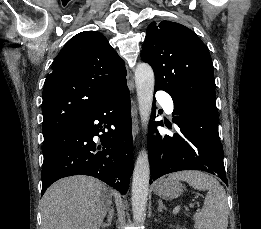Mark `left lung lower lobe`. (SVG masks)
Returning a JSON list of instances; mask_svg holds the SVG:
<instances>
[{"label":"left lung lower lobe","instance_id":"1","mask_svg":"<svg viewBox=\"0 0 261 229\" xmlns=\"http://www.w3.org/2000/svg\"><path fill=\"white\" fill-rule=\"evenodd\" d=\"M162 90L155 87L154 91ZM173 98V97H172ZM173 122L180 128L174 136H162L150 130L148 151L151 154V179L181 170H202L224 176L223 148L218 135L217 108L195 99L173 98ZM156 110L154 111L155 118ZM163 126V122H156ZM155 134V135H154Z\"/></svg>","mask_w":261,"mask_h":229}]
</instances>
